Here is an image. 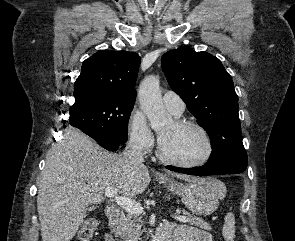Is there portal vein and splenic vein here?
<instances>
[{
  "label": "portal vein and splenic vein",
  "mask_w": 295,
  "mask_h": 241,
  "mask_svg": "<svg viewBox=\"0 0 295 241\" xmlns=\"http://www.w3.org/2000/svg\"><path fill=\"white\" fill-rule=\"evenodd\" d=\"M118 189L113 187H107L105 189V195L109 198H114L117 205H119L121 208L125 209L129 213L141 215L143 213V208L140 203L136 202L135 200H132L130 198L118 196ZM172 217L180 222H189V218L186 216H176L172 215Z\"/></svg>",
  "instance_id": "portal-vein-and-splenic-vein-1"
}]
</instances>
